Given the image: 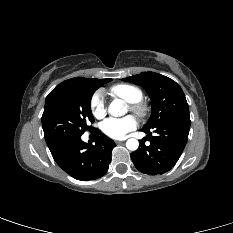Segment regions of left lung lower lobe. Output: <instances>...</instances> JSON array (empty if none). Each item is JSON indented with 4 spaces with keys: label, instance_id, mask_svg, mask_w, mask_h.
<instances>
[{
    "label": "left lung lower lobe",
    "instance_id": "1",
    "mask_svg": "<svg viewBox=\"0 0 233 233\" xmlns=\"http://www.w3.org/2000/svg\"><path fill=\"white\" fill-rule=\"evenodd\" d=\"M190 123V115H183L152 129H142L148 134L146 140H149L150 144L146 145L143 138L139 149L131 153L135 167L148 175L163 174L172 169L187 143ZM151 130L157 133V136H151Z\"/></svg>",
    "mask_w": 233,
    "mask_h": 233
}]
</instances>
